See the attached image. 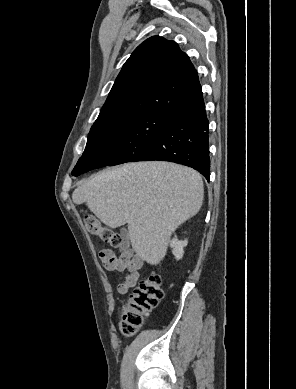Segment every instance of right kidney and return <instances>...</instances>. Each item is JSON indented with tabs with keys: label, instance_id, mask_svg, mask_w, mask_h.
Segmentation results:
<instances>
[{
	"label": "right kidney",
	"instance_id": "right-kidney-1",
	"mask_svg": "<svg viewBox=\"0 0 296 389\" xmlns=\"http://www.w3.org/2000/svg\"><path fill=\"white\" fill-rule=\"evenodd\" d=\"M187 243V239H185L184 241H180L177 239V236H175L170 241V247L172 248V253L175 256L176 260H180L183 257L184 247L187 246Z\"/></svg>",
	"mask_w": 296,
	"mask_h": 389
}]
</instances>
